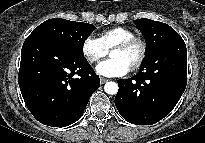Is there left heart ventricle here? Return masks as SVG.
I'll return each instance as SVG.
<instances>
[{
	"instance_id": "b2bd125f",
	"label": "left heart ventricle",
	"mask_w": 205,
	"mask_h": 143,
	"mask_svg": "<svg viewBox=\"0 0 205 143\" xmlns=\"http://www.w3.org/2000/svg\"><path fill=\"white\" fill-rule=\"evenodd\" d=\"M139 56V48L133 46L127 50H114L110 53L111 58H116L124 62L129 68L137 60Z\"/></svg>"
}]
</instances>
